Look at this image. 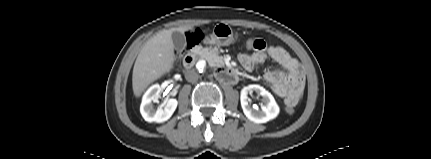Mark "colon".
<instances>
[{
    "mask_svg": "<svg viewBox=\"0 0 431 159\" xmlns=\"http://www.w3.org/2000/svg\"><path fill=\"white\" fill-rule=\"evenodd\" d=\"M199 39H200L199 34H191L188 37V42H189L190 45H192V44L198 42ZM254 44H255L254 39H246V43H244V50H246V51L252 50ZM286 111L288 113H293L294 112V108H290V107L286 106Z\"/></svg>",
    "mask_w": 431,
    "mask_h": 159,
    "instance_id": "colon-1",
    "label": "colon"
}]
</instances>
